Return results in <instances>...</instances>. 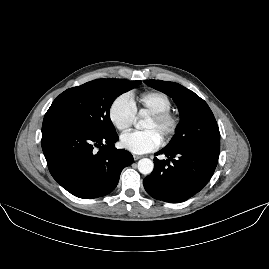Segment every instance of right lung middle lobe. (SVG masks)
<instances>
[{
	"mask_svg": "<svg viewBox=\"0 0 269 269\" xmlns=\"http://www.w3.org/2000/svg\"><path fill=\"white\" fill-rule=\"evenodd\" d=\"M140 83L124 79H96L61 93L47 113L65 116L99 135H114L116 130L110 120V107L120 94Z\"/></svg>",
	"mask_w": 269,
	"mask_h": 269,
	"instance_id": "1",
	"label": "right lung middle lobe"
}]
</instances>
